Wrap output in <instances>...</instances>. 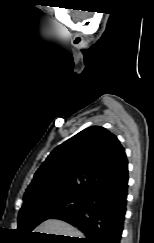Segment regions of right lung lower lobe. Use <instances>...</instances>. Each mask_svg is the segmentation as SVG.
<instances>
[{
  "mask_svg": "<svg viewBox=\"0 0 154 243\" xmlns=\"http://www.w3.org/2000/svg\"><path fill=\"white\" fill-rule=\"evenodd\" d=\"M127 188L128 167L95 188L82 207L54 218L72 224L85 234V238L74 239V243H120Z\"/></svg>",
  "mask_w": 154,
  "mask_h": 243,
  "instance_id": "right-lung-lower-lobe-1",
  "label": "right lung lower lobe"
}]
</instances>
